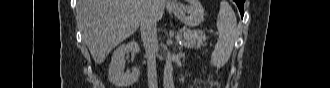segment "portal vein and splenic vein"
Segmentation results:
<instances>
[{
  "instance_id": "portal-vein-and-splenic-vein-1",
  "label": "portal vein and splenic vein",
  "mask_w": 330,
  "mask_h": 88,
  "mask_svg": "<svg viewBox=\"0 0 330 88\" xmlns=\"http://www.w3.org/2000/svg\"><path fill=\"white\" fill-rule=\"evenodd\" d=\"M177 39H180V36H177Z\"/></svg>"
}]
</instances>
